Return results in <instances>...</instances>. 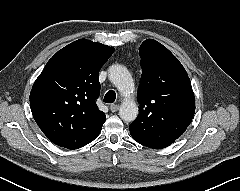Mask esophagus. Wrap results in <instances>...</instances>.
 I'll return each mask as SVG.
<instances>
[{
  "label": "esophagus",
  "instance_id": "1",
  "mask_svg": "<svg viewBox=\"0 0 240 191\" xmlns=\"http://www.w3.org/2000/svg\"><path fill=\"white\" fill-rule=\"evenodd\" d=\"M118 109H119V105L112 104V105L110 106V110H111L112 112H116V111H118Z\"/></svg>",
  "mask_w": 240,
  "mask_h": 191
}]
</instances>
